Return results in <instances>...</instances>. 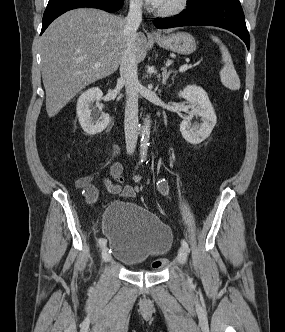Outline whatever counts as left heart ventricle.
<instances>
[{
  "label": "left heart ventricle",
  "instance_id": "left-heart-ventricle-1",
  "mask_svg": "<svg viewBox=\"0 0 285 332\" xmlns=\"http://www.w3.org/2000/svg\"><path fill=\"white\" fill-rule=\"evenodd\" d=\"M178 0H165L160 8H170L177 3Z\"/></svg>",
  "mask_w": 285,
  "mask_h": 332
}]
</instances>
